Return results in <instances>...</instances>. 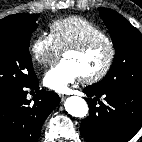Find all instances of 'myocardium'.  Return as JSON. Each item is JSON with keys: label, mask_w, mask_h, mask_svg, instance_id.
Masks as SVG:
<instances>
[{"label": "myocardium", "mask_w": 142, "mask_h": 142, "mask_svg": "<svg viewBox=\"0 0 142 142\" xmlns=\"http://www.w3.org/2000/svg\"><path fill=\"white\" fill-rule=\"evenodd\" d=\"M102 43L106 44V46L108 47L107 60L104 66L99 71L91 75L83 76L82 81L84 83L91 84V83L98 82L109 73V71L111 70L113 66L115 55H116V49H115L113 42L109 38L92 37L85 41L77 43L75 45L69 46L63 50V56L67 52L83 53L95 47L96 45L102 44Z\"/></svg>", "instance_id": "f54148a6"}]
</instances>
